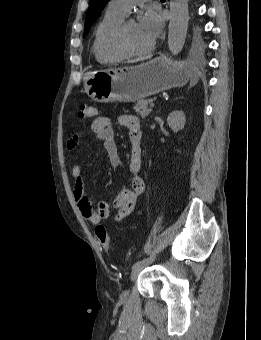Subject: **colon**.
<instances>
[{
    "label": "colon",
    "mask_w": 261,
    "mask_h": 340,
    "mask_svg": "<svg viewBox=\"0 0 261 340\" xmlns=\"http://www.w3.org/2000/svg\"><path fill=\"white\" fill-rule=\"evenodd\" d=\"M97 114L98 110L96 107L92 105L82 104L79 108L78 117L81 119L92 118ZM95 234L103 249L109 250L111 248V240L106 227L102 224L96 225Z\"/></svg>",
    "instance_id": "obj_1"
}]
</instances>
